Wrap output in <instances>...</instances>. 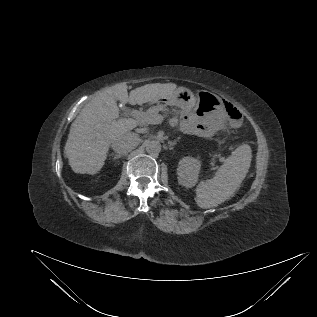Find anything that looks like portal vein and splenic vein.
<instances>
[{
    "instance_id": "obj_1",
    "label": "portal vein and splenic vein",
    "mask_w": 317,
    "mask_h": 317,
    "mask_svg": "<svg viewBox=\"0 0 317 317\" xmlns=\"http://www.w3.org/2000/svg\"><path fill=\"white\" fill-rule=\"evenodd\" d=\"M129 116L136 118L141 121H149V124H160L164 120L162 115H157L154 117H147L144 112H140L138 110H133L127 113Z\"/></svg>"
}]
</instances>
